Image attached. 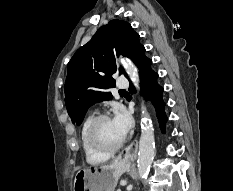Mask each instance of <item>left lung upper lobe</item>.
Returning a JSON list of instances; mask_svg holds the SVG:
<instances>
[{
	"label": "left lung upper lobe",
	"mask_w": 233,
	"mask_h": 191,
	"mask_svg": "<svg viewBox=\"0 0 233 191\" xmlns=\"http://www.w3.org/2000/svg\"><path fill=\"white\" fill-rule=\"evenodd\" d=\"M139 35L123 20H112L79 48L67 65L65 104L73 123L81 124L88 108L112 99L107 89L115 87L112 74H123L115 56L124 55L139 66L146 57Z\"/></svg>",
	"instance_id": "1"
}]
</instances>
